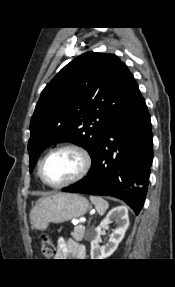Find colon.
I'll use <instances>...</instances> for the list:
<instances>
[{"label": "colon", "instance_id": "obj_1", "mask_svg": "<svg viewBox=\"0 0 175 287\" xmlns=\"http://www.w3.org/2000/svg\"><path fill=\"white\" fill-rule=\"evenodd\" d=\"M41 253L45 259H50L54 255V246L49 237L43 235L40 241Z\"/></svg>", "mask_w": 175, "mask_h": 287}]
</instances>
